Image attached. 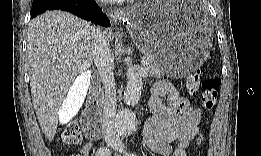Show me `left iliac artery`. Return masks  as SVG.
<instances>
[{
	"label": "left iliac artery",
	"mask_w": 261,
	"mask_h": 156,
	"mask_svg": "<svg viewBox=\"0 0 261 156\" xmlns=\"http://www.w3.org/2000/svg\"><path fill=\"white\" fill-rule=\"evenodd\" d=\"M125 155H126V156H134L133 154L128 153V152H127Z\"/></svg>",
	"instance_id": "1"
}]
</instances>
